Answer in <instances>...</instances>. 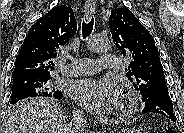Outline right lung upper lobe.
<instances>
[{
  "mask_svg": "<svg viewBox=\"0 0 184 133\" xmlns=\"http://www.w3.org/2000/svg\"><path fill=\"white\" fill-rule=\"evenodd\" d=\"M77 22L70 6L53 7L28 31L15 61L12 76L50 75L53 59L75 35Z\"/></svg>",
  "mask_w": 184,
  "mask_h": 133,
  "instance_id": "right-lung-upper-lobe-1",
  "label": "right lung upper lobe"
}]
</instances>
